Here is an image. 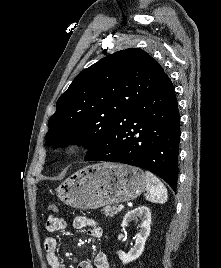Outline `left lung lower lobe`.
Listing matches in <instances>:
<instances>
[{"label":"left lung lower lobe","instance_id":"1","mask_svg":"<svg viewBox=\"0 0 221 268\" xmlns=\"http://www.w3.org/2000/svg\"><path fill=\"white\" fill-rule=\"evenodd\" d=\"M180 114L172 83L129 109L96 155L87 161L120 162L147 169L175 191Z\"/></svg>","mask_w":221,"mask_h":268}]
</instances>
